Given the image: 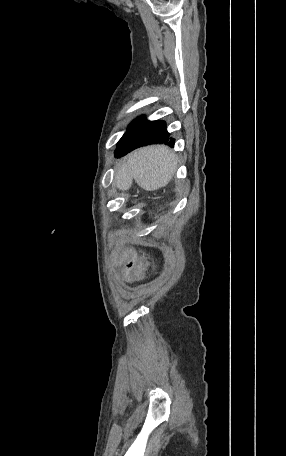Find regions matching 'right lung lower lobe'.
I'll use <instances>...</instances> for the list:
<instances>
[{
    "label": "right lung lower lobe",
    "mask_w": 286,
    "mask_h": 456,
    "mask_svg": "<svg viewBox=\"0 0 286 456\" xmlns=\"http://www.w3.org/2000/svg\"><path fill=\"white\" fill-rule=\"evenodd\" d=\"M164 121H148L143 116L136 119L122 137L115 151V157L126 155L131 150L151 143L174 145Z\"/></svg>",
    "instance_id": "obj_1"
}]
</instances>
